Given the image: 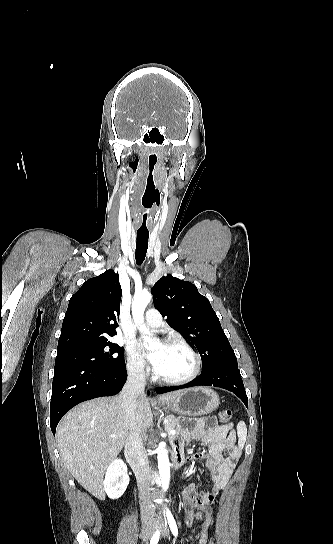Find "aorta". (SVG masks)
Here are the masks:
<instances>
[{"label":"aorta","mask_w":333,"mask_h":544,"mask_svg":"<svg viewBox=\"0 0 333 544\" xmlns=\"http://www.w3.org/2000/svg\"><path fill=\"white\" fill-rule=\"evenodd\" d=\"M152 296L148 291H142L140 293H135L132 301V316L135 324L142 331L147 332L144 325V311L147 305L149 304ZM153 349L152 346L149 347ZM157 459H158V469L159 475L162 483V488L166 491L169 487L170 482V462L168 457V452L163 444H159L156 449Z\"/></svg>","instance_id":"obj_1"}]
</instances>
